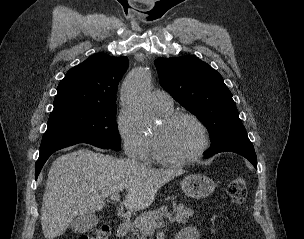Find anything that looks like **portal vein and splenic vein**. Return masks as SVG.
Wrapping results in <instances>:
<instances>
[{
	"label": "portal vein and splenic vein",
	"mask_w": 304,
	"mask_h": 239,
	"mask_svg": "<svg viewBox=\"0 0 304 239\" xmlns=\"http://www.w3.org/2000/svg\"><path fill=\"white\" fill-rule=\"evenodd\" d=\"M110 199H111L112 202H119L120 201V194L119 193L112 194L110 196ZM163 225H165L164 222H153L150 225L149 230H153V229H155L157 227H160V226H163Z\"/></svg>",
	"instance_id": "portal-vein-and-splenic-vein-1"
}]
</instances>
